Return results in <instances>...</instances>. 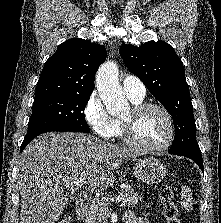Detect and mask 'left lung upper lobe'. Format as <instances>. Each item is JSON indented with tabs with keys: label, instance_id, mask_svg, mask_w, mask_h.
<instances>
[{
	"label": "left lung upper lobe",
	"instance_id": "5c2ea615",
	"mask_svg": "<svg viewBox=\"0 0 221 223\" xmlns=\"http://www.w3.org/2000/svg\"><path fill=\"white\" fill-rule=\"evenodd\" d=\"M119 52L127 68L172 115L175 137L169 150H200L184 67L173 47L149 41L140 47L124 45Z\"/></svg>",
	"mask_w": 221,
	"mask_h": 223
}]
</instances>
